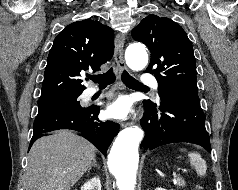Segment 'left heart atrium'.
<instances>
[{"mask_svg":"<svg viewBox=\"0 0 238 190\" xmlns=\"http://www.w3.org/2000/svg\"><path fill=\"white\" fill-rule=\"evenodd\" d=\"M133 112L132 101L128 96L121 95L111 101L106 108V115L114 119H125Z\"/></svg>","mask_w":238,"mask_h":190,"instance_id":"left-heart-atrium-1","label":"left heart atrium"}]
</instances>
